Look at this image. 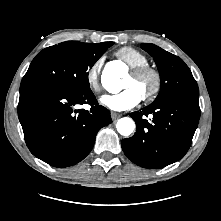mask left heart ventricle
<instances>
[{
    "mask_svg": "<svg viewBox=\"0 0 221 221\" xmlns=\"http://www.w3.org/2000/svg\"><path fill=\"white\" fill-rule=\"evenodd\" d=\"M152 84L153 81L150 76L135 78L131 75V73H129L128 76L124 79L123 87L126 88L133 86L140 92L141 96H143L145 93L150 91Z\"/></svg>",
    "mask_w": 221,
    "mask_h": 221,
    "instance_id": "obj_1",
    "label": "left heart ventricle"
}]
</instances>
